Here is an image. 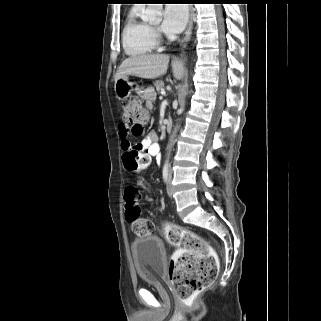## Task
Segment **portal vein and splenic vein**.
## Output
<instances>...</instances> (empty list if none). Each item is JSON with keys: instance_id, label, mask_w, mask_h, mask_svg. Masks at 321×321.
I'll use <instances>...</instances> for the list:
<instances>
[{"instance_id": "18ae733b", "label": "portal vein and splenic vein", "mask_w": 321, "mask_h": 321, "mask_svg": "<svg viewBox=\"0 0 321 321\" xmlns=\"http://www.w3.org/2000/svg\"><path fill=\"white\" fill-rule=\"evenodd\" d=\"M161 94L165 95V90L164 89L161 90Z\"/></svg>"}]
</instances>
